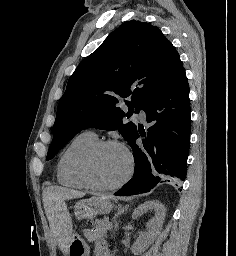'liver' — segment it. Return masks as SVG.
Masks as SVG:
<instances>
[{"label": "liver", "instance_id": "liver-1", "mask_svg": "<svg viewBox=\"0 0 236 256\" xmlns=\"http://www.w3.org/2000/svg\"><path fill=\"white\" fill-rule=\"evenodd\" d=\"M83 196H85L84 192H75V190H69V188H57V186L45 188L43 192V204L52 230L55 228V212L61 210L57 202L59 200H69V198H83Z\"/></svg>", "mask_w": 236, "mask_h": 256}]
</instances>
